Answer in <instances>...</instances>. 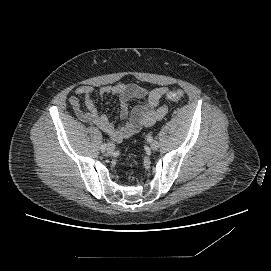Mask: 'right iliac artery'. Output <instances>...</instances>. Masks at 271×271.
Listing matches in <instances>:
<instances>
[{
	"instance_id": "obj_1",
	"label": "right iliac artery",
	"mask_w": 271,
	"mask_h": 271,
	"mask_svg": "<svg viewBox=\"0 0 271 271\" xmlns=\"http://www.w3.org/2000/svg\"><path fill=\"white\" fill-rule=\"evenodd\" d=\"M106 148H107V144H102L100 147L101 151H105Z\"/></svg>"
}]
</instances>
